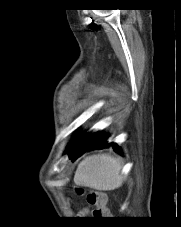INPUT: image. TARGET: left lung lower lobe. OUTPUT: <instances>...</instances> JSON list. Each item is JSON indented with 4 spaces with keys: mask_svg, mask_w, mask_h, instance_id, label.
I'll return each mask as SVG.
<instances>
[{
    "mask_svg": "<svg viewBox=\"0 0 181 227\" xmlns=\"http://www.w3.org/2000/svg\"><path fill=\"white\" fill-rule=\"evenodd\" d=\"M107 138L108 135L99 132L82 134L72 142L69 146L70 149L66 153H68L70 158L75 159L87 151L103 149L109 146H112L116 152H120V149L116 144L107 142Z\"/></svg>",
    "mask_w": 181,
    "mask_h": 227,
    "instance_id": "obj_1",
    "label": "left lung lower lobe"
}]
</instances>
